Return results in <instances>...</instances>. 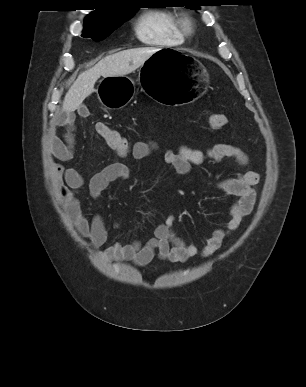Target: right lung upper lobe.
Wrapping results in <instances>:
<instances>
[{
  "label": "right lung upper lobe",
  "mask_w": 306,
  "mask_h": 387,
  "mask_svg": "<svg viewBox=\"0 0 306 387\" xmlns=\"http://www.w3.org/2000/svg\"><path fill=\"white\" fill-rule=\"evenodd\" d=\"M125 9H129V8L117 6V7L105 8V9H97L96 11L90 13L85 18V21H94V22L108 21L111 18L117 16L121 11Z\"/></svg>",
  "instance_id": "obj_1"
}]
</instances>
